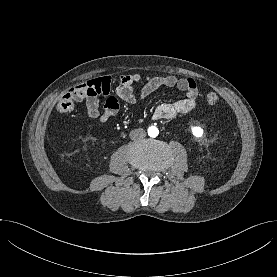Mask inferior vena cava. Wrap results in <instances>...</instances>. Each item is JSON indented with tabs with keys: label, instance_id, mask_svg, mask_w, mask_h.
Segmentation results:
<instances>
[{
	"label": "inferior vena cava",
	"instance_id": "obj_1",
	"mask_svg": "<svg viewBox=\"0 0 277 277\" xmlns=\"http://www.w3.org/2000/svg\"><path fill=\"white\" fill-rule=\"evenodd\" d=\"M131 140L143 139L146 136L145 130L142 128L132 130L129 134Z\"/></svg>",
	"mask_w": 277,
	"mask_h": 277
}]
</instances>
